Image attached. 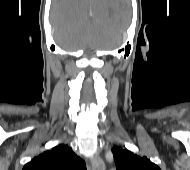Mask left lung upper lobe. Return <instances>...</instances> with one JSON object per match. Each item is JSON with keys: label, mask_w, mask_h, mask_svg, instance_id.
<instances>
[{"label": "left lung upper lobe", "mask_w": 190, "mask_h": 170, "mask_svg": "<svg viewBox=\"0 0 190 170\" xmlns=\"http://www.w3.org/2000/svg\"><path fill=\"white\" fill-rule=\"evenodd\" d=\"M117 170H160L147 157H140L127 149H112Z\"/></svg>", "instance_id": "left-lung-upper-lobe-1"}]
</instances>
